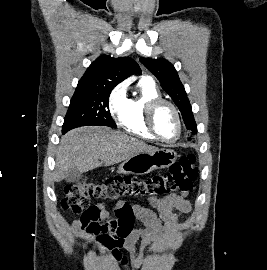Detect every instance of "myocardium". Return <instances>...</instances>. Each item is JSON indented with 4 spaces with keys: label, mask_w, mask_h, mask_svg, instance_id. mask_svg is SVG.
I'll list each match as a JSON object with an SVG mask.
<instances>
[{
    "label": "myocardium",
    "mask_w": 267,
    "mask_h": 270,
    "mask_svg": "<svg viewBox=\"0 0 267 270\" xmlns=\"http://www.w3.org/2000/svg\"><path fill=\"white\" fill-rule=\"evenodd\" d=\"M163 105L169 106L177 119V123H178V133L177 136L173 139V140H167L164 139L163 137H161L159 135V133L157 132V129L155 127V114L156 111ZM145 125L148 129V131L151 133V135L158 141L164 143V144H168V145H173L176 142L179 141V139L182 136V132H183V123H182V118H181V114L178 110V108L170 101L163 99V98H156L151 100L147 106H146V110H145Z\"/></svg>",
    "instance_id": "f54148a6"
}]
</instances>
